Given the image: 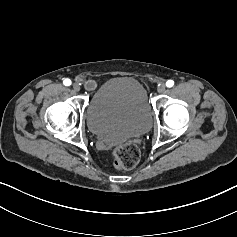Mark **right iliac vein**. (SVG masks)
I'll return each mask as SVG.
<instances>
[{
	"label": "right iliac vein",
	"instance_id": "63e3f726",
	"mask_svg": "<svg viewBox=\"0 0 237 237\" xmlns=\"http://www.w3.org/2000/svg\"><path fill=\"white\" fill-rule=\"evenodd\" d=\"M73 89H74L75 92H79L80 91V85L77 84V83H74L73 84Z\"/></svg>",
	"mask_w": 237,
	"mask_h": 237
}]
</instances>
